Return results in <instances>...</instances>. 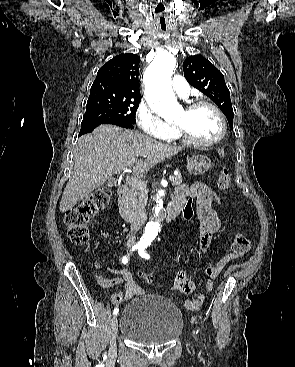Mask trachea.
Segmentation results:
<instances>
[{"instance_id": "trachea-1", "label": "trachea", "mask_w": 295, "mask_h": 367, "mask_svg": "<svg viewBox=\"0 0 295 367\" xmlns=\"http://www.w3.org/2000/svg\"><path fill=\"white\" fill-rule=\"evenodd\" d=\"M161 29L165 31V30H166V27H162V26H161Z\"/></svg>"}]
</instances>
